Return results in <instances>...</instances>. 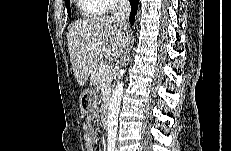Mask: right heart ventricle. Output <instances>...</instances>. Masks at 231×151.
Masks as SVG:
<instances>
[{
    "mask_svg": "<svg viewBox=\"0 0 231 151\" xmlns=\"http://www.w3.org/2000/svg\"><path fill=\"white\" fill-rule=\"evenodd\" d=\"M80 9L85 15H95L104 12L102 3L98 0H84L80 1Z\"/></svg>",
    "mask_w": 231,
    "mask_h": 151,
    "instance_id": "1",
    "label": "right heart ventricle"
}]
</instances>
